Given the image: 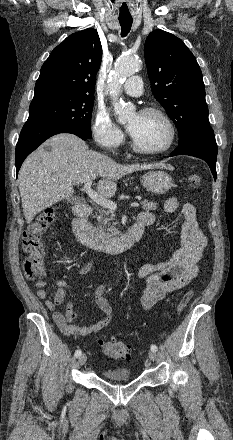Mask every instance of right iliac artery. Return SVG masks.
<instances>
[{
    "label": "right iliac artery",
    "mask_w": 233,
    "mask_h": 440,
    "mask_svg": "<svg viewBox=\"0 0 233 440\" xmlns=\"http://www.w3.org/2000/svg\"><path fill=\"white\" fill-rule=\"evenodd\" d=\"M81 355V350H76L75 357L78 358Z\"/></svg>",
    "instance_id": "82829eb1"
}]
</instances>
